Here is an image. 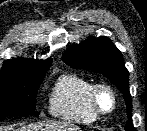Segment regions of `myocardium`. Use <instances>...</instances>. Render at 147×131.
Here are the masks:
<instances>
[{"mask_svg": "<svg viewBox=\"0 0 147 131\" xmlns=\"http://www.w3.org/2000/svg\"><path fill=\"white\" fill-rule=\"evenodd\" d=\"M102 91H107L112 97V105L109 109H103L99 104V94ZM89 101L92 110L99 117L111 114L116 109L118 98L116 91L111 85L101 82L92 86L89 94Z\"/></svg>", "mask_w": 147, "mask_h": 131, "instance_id": "myocardium-1", "label": "myocardium"}]
</instances>
